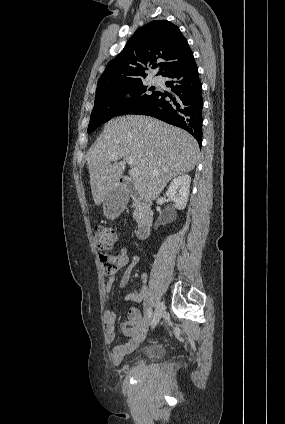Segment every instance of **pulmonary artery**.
Listing matches in <instances>:
<instances>
[{"label": "pulmonary artery", "mask_w": 285, "mask_h": 424, "mask_svg": "<svg viewBox=\"0 0 285 424\" xmlns=\"http://www.w3.org/2000/svg\"><path fill=\"white\" fill-rule=\"evenodd\" d=\"M153 82L157 84V83H159V79L158 78H154L153 79Z\"/></svg>", "instance_id": "e3ab8cb5"}]
</instances>
